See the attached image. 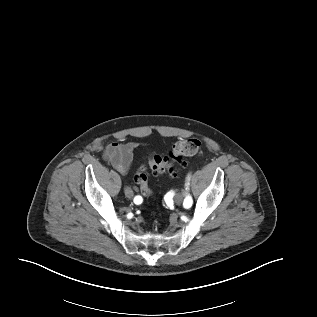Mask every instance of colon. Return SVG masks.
I'll return each instance as SVG.
<instances>
[{
  "label": "colon",
  "instance_id": "colon-1",
  "mask_svg": "<svg viewBox=\"0 0 317 317\" xmlns=\"http://www.w3.org/2000/svg\"><path fill=\"white\" fill-rule=\"evenodd\" d=\"M200 148V141L197 139H182L177 141L166 156L152 154L148 156L147 164L139 167L135 173L134 180L145 196H151L153 191L148 185L147 166L156 175L167 173L175 175L176 164L183 162L184 157L194 155Z\"/></svg>",
  "mask_w": 317,
  "mask_h": 317
}]
</instances>
